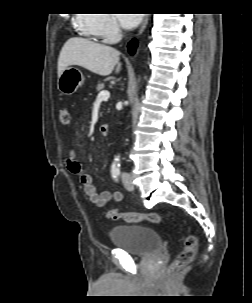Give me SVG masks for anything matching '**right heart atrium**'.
<instances>
[{
	"label": "right heart atrium",
	"instance_id": "d8ad5b80",
	"mask_svg": "<svg viewBox=\"0 0 252 303\" xmlns=\"http://www.w3.org/2000/svg\"><path fill=\"white\" fill-rule=\"evenodd\" d=\"M90 25L106 43H115L120 37V27L111 14H94L91 16Z\"/></svg>",
	"mask_w": 252,
	"mask_h": 303
}]
</instances>
